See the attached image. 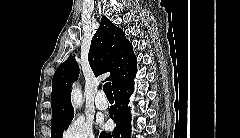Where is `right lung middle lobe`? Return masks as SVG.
Returning a JSON list of instances; mask_svg holds the SVG:
<instances>
[{
    "instance_id": "1",
    "label": "right lung middle lobe",
    "mask_w": 240,
    "mask_h": 138,
    "mask_svg": "<svg viewBox=\"0 0 240 138\" xmlns=\"http://www.w3.org/2000/svg\"><path fill=\"white\" fill-rule=\"evenodd\" d=\"M71 121L72 120H69L67 122L51 126V138H62L64 129L69 126Z\"/></svg>"
}]
</instances>
